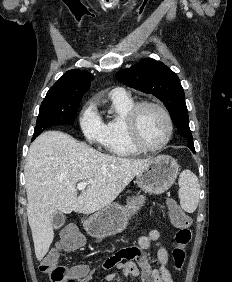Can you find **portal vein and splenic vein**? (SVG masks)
<instances>
[{
    "label": "portal vein and splenic vein",
    "instance_id": "18ae733b",
    "mask_svg": "<svg viewBox=\"0 0 232 282\" xmlns=\"http://www.w3.org/2000/svg\"><path fill=\"white\" fill-rule=\"evenodd\" d=\"M87 185H88L87 182H80V183L77 184V189L79 191H83L86 188Z\"/></svg>",
    "mask_w": 232,
    "mask_h": 282
}]
</instances>
